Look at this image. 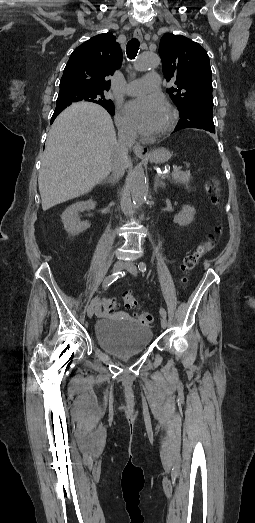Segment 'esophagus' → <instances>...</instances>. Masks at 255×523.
I'll use <instances>...</instances> for the list:
<instances>
[{"instance_id":"obj_1","label":"esophagus","mask_w":255,"mask_h":523,"mask_svg":"<svg viewBox=\"0 0 255 523\" xmlns=\"http://www.w3.org/2000/svg\"><path fill=\"white\" fill-rule=\"evenodd\" d=\"M134 37L136 39L142 41V32H141L140 29H136L134 31ZM133 151H134L135 155H137V156H139L141 158H144V157L149 155L148 147H146L144 145H141L140 143H136V145H134Z\"/></svg>"}]
</instances>
